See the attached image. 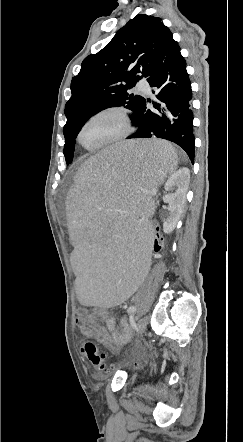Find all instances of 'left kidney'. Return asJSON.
<instances>
[{
	"label": "left kidney",
	"mask_w": 243,
	"mask_h": 442,
	"mask_svg": "<svg viewBox=\"0 0 243 442\" xmlns=\"http://www.w3.org/2000/svg\"><path fill=\"white\" fill-rule=\"evenodd\" d=\"M189 179L190 171L188 168L184 167L172 174L165 183L167 189L177 186L174 193L168 194L164 197V202L168 203L169 211L168 216L163 223L164 232L166 234L173 232L183 212Z\"/></svg>",
	"instance_id": "left-kidney-1"
}]
</instances>
